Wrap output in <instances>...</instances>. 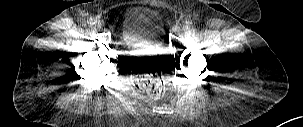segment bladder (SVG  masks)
<instances>
[{
	"instance_id": "1",
	"label": "bladder",
	"mask_w": 303,
	"mask_h": 127,
	"mask_svg": "<svg viewBox=\"0 0 303 127\" xmlns=\"http://www.w3.org/2000/svg\"><path fill=\"white\" fill-rule=\"evenodd\" d=\"M119 34L128 44L135 42L162 43L163 20L159 12L144 6H133L126 10L119 27Z\"/></svg>"
}]
</instances>
